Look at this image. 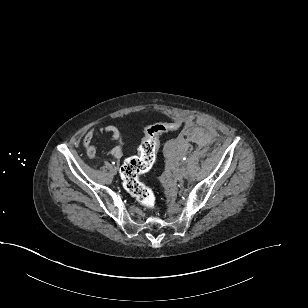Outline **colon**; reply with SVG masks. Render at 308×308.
Returning <instances> with one entry per match:
<instances>
[{
  "instance_id": "5ec220e1",
  "label": "colon",
  "mask_w": 308,
  "mask_h": 308,
  "mask_svg": "<svg viewBox=\"0 0 308 308\" xmlns=\"http://www.w3.org/2000/svg\"><path fill=\"white\" fill-rule=\"evenodd\" d=\"M179 122H163L148 126L138 149V154L127 159L121 167V178L125 190L144 208L152 210L155 207L154 191L145 185L140 176L148 172L156 159L161 134L177 129Z\"/></svg>"
}]
</instances>
